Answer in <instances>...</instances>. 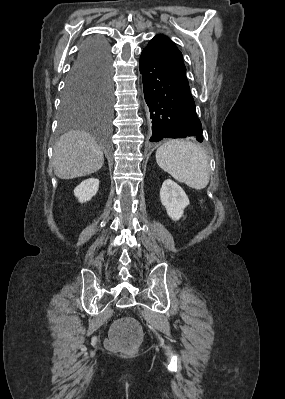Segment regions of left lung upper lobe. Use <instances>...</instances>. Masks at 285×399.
Returning <instances> with one entry per match:
<instances>
[{
	"mask_svg": "<svg viewBox=\"0 0 285 399\" xmlns=\"http://www.w3.org/2000/svg\"><path fill=\"white\" fill-rule=\"evenodd\" d=\"M146 49L156 55L174 74L187 81L182 53L167 36L156 35Z\"/></svg>",
	"mask_w": 285,
	"mask_h": 399,
	"instance_id": "1",
	"label": "left lung upper lobe"
}]
</instances>
